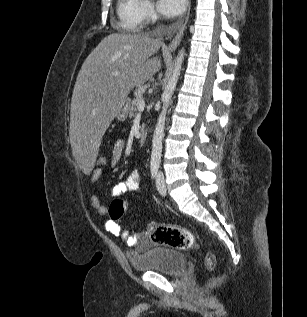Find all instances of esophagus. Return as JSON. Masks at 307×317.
Listing matches in <instances>:
<instances>
[{"mask_svg": "<svg viewBox=\"0 0 307 317\" xmlns=\"http://www.w3.org/2000/svg\"><path fill=\"white\" fill-rule=\"evenodd\" d=\"M189 11H190V0L188 1V11H187L185 21L182 23L181 28H180L179 32L177 33V35L175 36V38L169 44V46H168L169 51L175 50L177 48V46L179 45V43L182 39L185 27H186V22H187V19L189 16Z\"/></svg>", "mask_w": 307, "mask_h": 317, "instance_id": "1", "label": "esophagus"}]
</instances>
